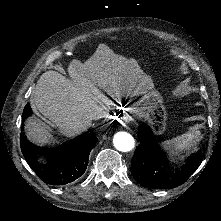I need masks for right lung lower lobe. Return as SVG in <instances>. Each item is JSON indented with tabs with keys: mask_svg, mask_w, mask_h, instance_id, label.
I'll use <instances>...</instances> for the list:
<instances>
[{
	"mask_svg": "<svg viewBox=\"0 0 221 221\" xmlns=\"http://www.w3.org/2000/svg\"><path fill=\"white\" fill-rule=\"evenodd\" d=\"M31 114L32 109L27 104L22 114V122ZM21 130H24L23 126ZM96 143L95 135L82 134L61 146L42 148L28 141L24 132L20 136L21 150L29 166L43 182L51 185H64L81 177ZM41 156L46 157V163L39 161Z\"/></svg>",
	"mask_w": 221,
	"mask_h": 221,
	"instance_id": "right-lung-lower-lobe-1",
	"label": "right lung lower lobe"
}]
</instances>
